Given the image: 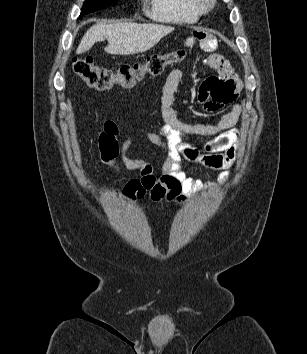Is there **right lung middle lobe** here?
Masks as SVG:
<instances>
[{
  "label": "right lung middle lobe",
  "mask_w": 307,
  "mask_h": 354,
  "mask_svg": "<svg viewBox=\"0 0 307 354\" xmlns=\"http://www.w3.org/2000/svg\"><path fill=\"white\" fill-rule=\"evenodd\" d=\"M117 1L118 0H86L84 2L83 8L81 9V14L79 18L90 12H94L108 7Z\"/></svg>",
  "instance_id": "right-lung-middle-lobe-1"
}]
</instances>
